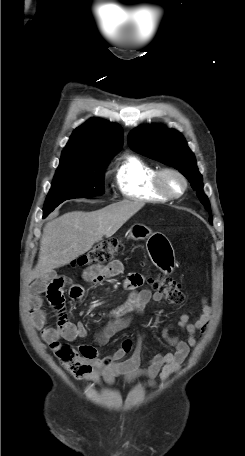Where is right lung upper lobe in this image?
I'll return each instance as SVG.
<instances>
[{
	"instance_id": "obj_1",
	"label": "right lung upper lobe",
	"mask_w": 245,
	"mask_h": 456,
	"mask_svg": "<svg viewBox=\"0 0 245 456\" xmlns=\"http://www.w3.org/2000/svg\"><path fill=\"white\" fill-rule=\"evenodd\" d=\"M122 143L123 130L119 125L91 118L73 132L62 152L60 163L113 157Z\"/></svg>"
}]
</instances>
